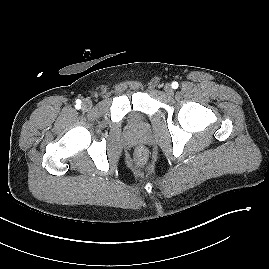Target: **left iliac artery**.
<instances>
[{
	"label": "left iliac artery",
	"instance_id": "44dca946",
	"mask_svg": "<svg viewBox=\"0 0 269 269\" xmlns=\"http://www.w3.org/2000/svg\"><path fill=\"white\" fill-rule=\"evenodd\" d=\"M178 86H179V84L176 81L172 82V88L173 89H177Z\"/></svg>",
	"mask_w": 269,
	"mask_h": 269
}]
</instances>
